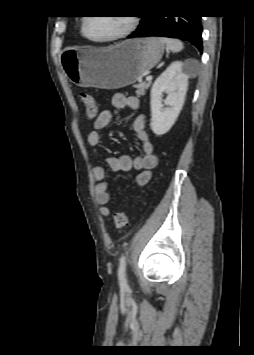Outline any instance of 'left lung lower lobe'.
I'll return each mask as SVG.
<instances>
[{
	"instance_id": "left-lung-lower-lobe-1",
	"label": "left lung lower lobe",
	"mask_w": 254,
	"mask_h": 355,
	"mask_svg": "<svg viewBox=\"0 0 254 355\" xmlns=\"http://www.w3.org/2000/svg\"><path fill=\"white\" fill-rule=\"evenodd\" d=\"M137 30L128 38L162 36L186 39L202 53L201 16L144 15Z\"/></svg>"
}]
</instances>
